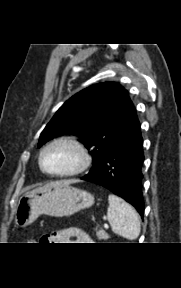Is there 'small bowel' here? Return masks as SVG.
Wrapping results in <instances>:
<instances>
[{
  "label": "small bowel",
  "mask_w": 181,
  "mask_h": 288,
  "mask_svg": "<svg viewBox=\"0 0 181 288\" xmlns=\"http://www.w3.org/2000/svg\"><path fill=\"white\" fill-rule=\"evenodd\" d=\"M89 235L78 228H67L51 233L46 237L47 243H78L85 244L90 242Z\"/></svg>",
  "instance_id": "obj_1"
}]
</instances>
